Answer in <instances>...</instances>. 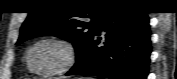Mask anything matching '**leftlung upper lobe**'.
I'll list each match as a JSON object with an SVG mask.
<instances>
[{
	"instance_id": "5c2ea615",
	"label": "left lung upper lobe",
	"mask_w": 177,
	"mask_h": 79,
	"mask_svg": "<svg viewBox=\"0 0 177 79\" xmlns=\"http://www.w3.org/2000/svg\"><path fill=\"white\" fill-rule=\"evenodd\" d=\"M62 2H76L85 5L70 11H54L63 7ZM119 0L41 1L35 12H30L20 30L17 44L43 35L58 36L73 43L76 60L85 51L99 24L103 10ZM86 18H91L86 22Z\"/></svg>"
}]
</instances>
